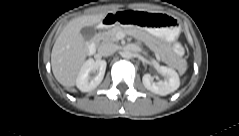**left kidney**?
I'll list each match as a JSON object with an SVG mask.
<instances>
[{
	"label": "left kidney",
	"mask_w": 239,
	"mask_h": 136,
	"mask_svg": "<svg viewBox=\"0 0 239 136\" xmlns=\"http://www.w3.org/2000/svg\"><path fill=\"white\" fill-rule=\"evenodd\" d=\"M157 71L165 76V80L154 82L149 74H145L142 77V82L146 89L155 94L165 96L174 92L179 87V75L174 69L160 66L157 68Z\"/></svg>",
	"instance_id": "5707ae66"
}]
</instances>
